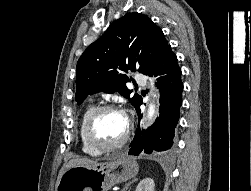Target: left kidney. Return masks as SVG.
<instances>
[{"label": "left kidney", "mask_w": 251, "mask_h": 191, "mask_svg": "<svg viewBox=\"0 0 251 191\" xmlns=\"http://www.w3.org/2000/svg\"><path fill=\"white\" fill-rule=\"evenodd\" d=\"M154 179L152 177H145L142 181H139L135 191H154Z\"/></svg>", "instance_id": "5707ae66"}]
</instances>
